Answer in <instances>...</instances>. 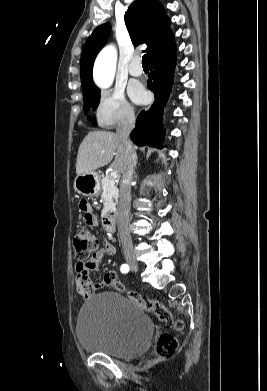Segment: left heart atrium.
<instances>
[{"label": "left heart atrium", "mask_w": 267, "mask_h": 391, "mask_svg": "<svg viewBox=\"0 0 267 391\" xmlns=\"http://www.w3.org/2000/svg\"><path fill=\"white\" fill-rule=\"evenodd\" d=\"M129 95L133 101L138 103L142 102L146 96L143 87L138 83H133L132 85H130Z\"/></svg>", "instance_id": "39dd6f15"}]
</instances>
